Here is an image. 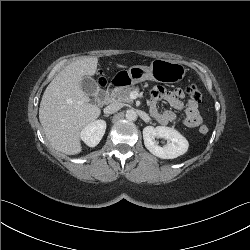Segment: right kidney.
Instances as JSON below:
<instances>
[{
	"instance_id": "ca27d5eb",
	"label": "right kidney",
	"mask_w": 250,
	"mask_h": 250,
	"mask_svg": "<svg viewBox=\"0 0 250 250\" xmlns=\"http://www.w3.org/2000/svg\"><path fill=\"white\" fill-rule=\"evenodd\" d=\"M106 130L104 120H96L86 125L80 132V138L89 147H95L101 141Z\"/></svg>"
}]
</instances>
